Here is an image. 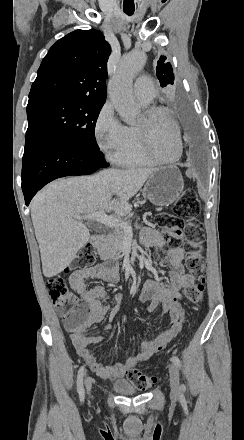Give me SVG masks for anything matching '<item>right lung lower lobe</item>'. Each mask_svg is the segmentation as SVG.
Segmentation results:
<instances>
[{
  "mask_svg": "<svg viewBox=\"0 0 244 440\" xmlns=\"http://www.w3.org/2000/svg\"><path fill=\"white\" fill-rule=\"evenodd\" d=\"M22 163L26 205L38 190L54 179L88 175L108 166L99 149H89L46 133L26 134Z\"/></svg>",
  "mask_w": 244,
  "mask_h": 440,
  "instance_id": "1",
  "label": "right lung lower lobe"
}]
</instances>
